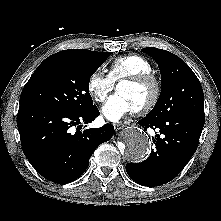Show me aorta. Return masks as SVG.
<instances>
[{
    "instance_id": "obj_1",
    "label": "aorta",
    "mask_w": 221,
    "mask_h": 221,
    "mask_svg": "<svg viewBox=\"0 0 221 221\" xmlns=\"http://www.w3.org/2000/svg\"><path fill=\"white\" fill-rule=\"evenodd\" d=\"M122 154L132 162H142L150 152L151 142L148 135L139 128H129L123 137Z\"/></svg>"
}]
</instances>
